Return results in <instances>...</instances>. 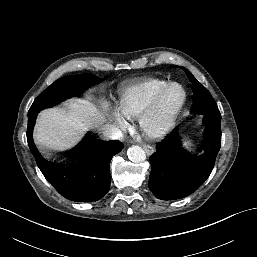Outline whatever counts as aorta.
I'll use <instances>...</instances> for the list:
<instances>
[{
  "mask_svg": "<svg viewBox=\"0 0 257 257\" xmlns=\"http://www.w3.org/2000/svg\"><path fill=\"white\" fill-rule=\"evenodd\" d=\"M128 158L135 163H140L145 161L146 154L145 151L137 145L131 146L127 151Z\"/></svg>",
  "mask_w": 257,
  "mask_h": 257,
  "instance_id": "obj_1",
  "label": "aorta"
}]
</instances>
